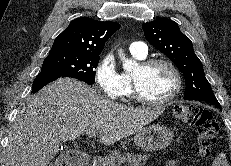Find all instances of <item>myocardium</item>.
I'll return each mask as SVG.
<instances>
[{"label":"myocardium","mask_w":231,"mask_h":166,"mask_svg":"<svg viewBox=\"0 0 231 166\" xmlns=\"http://www.w3.org/2000/svg\"><path fill=\"white\" fill-rule=\"evenodd\" d=\"M154 65H164L171 71L174 78V88L172 92L164 99H160V100L148 99L141 94L137 79L134 75H132L131 76L132 96L134 99L145 105L164 106L171 103L179 95L182 89V76L177 66L172 61L166 58H150V59L142 60L141 62H139L138 67L140 69H148Z\"/></svg>","instance_id":"f54148a6"}]
</instances>
